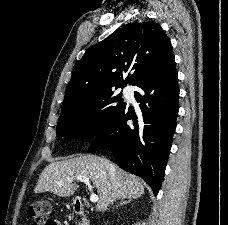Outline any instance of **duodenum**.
I'll return each instance as SVG.
<instances>
[{
	"mask_svg": "<svg viewBox=\"0 0 228 225\" xmlns=\"http://www.w3.org/2000/svg\"><path fill=\"white\" fill-rule=\"evenodd\" d=\"M72 208L75 213L80 215L81 217H84L86 214V208L84 203L80 198H74L72 201Z\"/></svg>",
	"mask_w": 228,
	"mask_h": 225,
	"instance_id": "410a0bca",
	"label": "duodenum"
}]
</instances>
